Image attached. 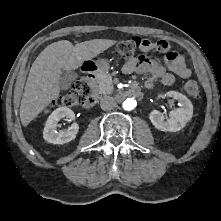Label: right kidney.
<instances>
[{"label":"right kidney","mask_w":221,"mask_h":221,"mask_svg":"<svg viewBox=\"0 0 221 221\" xmlns=\"http://www.w3.org/2000/svg\"><path fill=\"white\" fill-rule=\"evenodd\" d=\"M65 117L69 120H73L75 114L67 107H60L49 115L43 131V138L47 142L52 144H64L75 139L79 130V126L76 123L72 124L68 129L59 132L56 130L58 122Z\"/></svg>","instance_id":"ca27d5eb"}]
</instances>
